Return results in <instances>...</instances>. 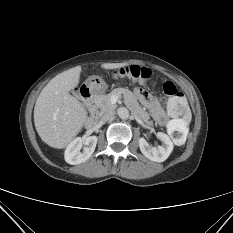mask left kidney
I'll return each instance as SVG.
<instances>
[{
  "label": "left kidney",
  "mask_w": 233,
  "mask_h": 233,
  "mask_svg": "<svg viewBox=\"0 0 233 233\" xmlns=\"http://www.w3.org/2000/svg\"><path fill=\"white\" fill-rule=\"evenodd\" d=\"M157 137L162 141V145L157 147H152L149 143L142 137L139 138V148L142 154L155 162L165 161L173 150V143L169 136L165 133L158 132Z\"/></svg>",
  "instance_id": "left-kidney-1"
}]
</instances>
